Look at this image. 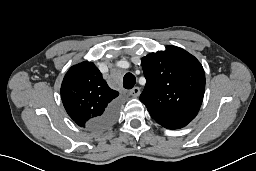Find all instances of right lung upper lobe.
<instances>
[{"instance_id": "cb5924a9", "label": "right lung upper lobe", "mask_w": 256, "mask_h": 171, "mask_svg": "<svg viewBox=\"0 0 256 171\" xmlns=\"http://www.w3.org/2000/svg\"><path fill=\"white\" fill-rule=\"evenodd\" d=\"M118 95L95 64L88 61L72 66L61 85V98L68 115L83 128L96 129L94 120L116 102Z\"/></svg>"}]
</instances>
